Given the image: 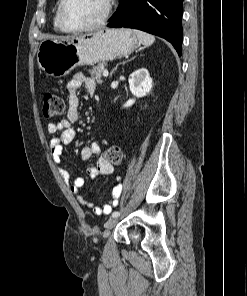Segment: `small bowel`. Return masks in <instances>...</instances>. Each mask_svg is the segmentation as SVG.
<instances>
[{
  "instance_id": "1",
  "label": "small bowel",
  "mask_w": 247,
  "mask_h": 296,
  "mask_svg": "<svg viewBox=\"0 0 247 296\" xmlns=\"http://www.w3.org/2000/svg\"><path fill=\"white\" fill-rule=\"evenodd\" d=\"M84 86L86 91L90 94L96 90V82L85 77L81 73H76L67 83L68 97V109L67 117L56 123H50L48 125V132L50 134H57L58 136L53 137L49 142V151L51 158L58 168L59 174L62 179L67 183L71 193L76 195L78 201L91 208L95 215L109 214L112 210V206H115L121 194V185L117 181L112 189V199L108 203L98 206L92 201L81 195L80 190L85 184L83 177H77L71 179V174L67 168H65L62 160V152L64 145L73 142L76 136L74 124L79 120V105L80 99L78 96V90L81 86ZM82 160H88L93 156H98V160L95 165L88 168V177L90 180L96 179L100 175H109L113 172V166L108 163L104 158L100 157V146L97 143L86 145L81 149L80 153Z\"/></svg>"
}]
</instances>
